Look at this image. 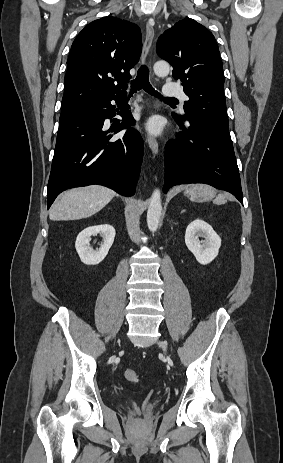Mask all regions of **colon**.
<instances>
[{
  "label": "colon",
  "instance_id": "1",
  "mask_svg": "<svg viewBox=\"0 0 283 463\" xmlns=\"http://www.w3.org/2000/svg\"><path fill=\"white\" fill-rule=\"evenodd\" d=\"M124 377L128 382L135 383L138 381V374L135 370L128 369L124 372Z\"/></svg>",
  "mask_w": 283,
  "mask_h": 463
}]
</instances>
